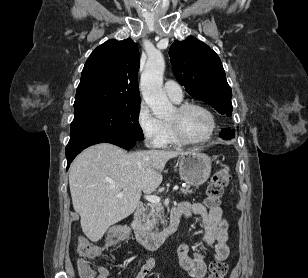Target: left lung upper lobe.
<instances>
[{
  "label": "left lung upper lobe",
  "mask_w": 308,
  "mask_h": 278,
  "mask_svg": "<svg viewBox=\"0 0 308 278\" xmlns=\"http://www.w3.org/2000/svg\"><path fill=\"white\" fill-rule=\"evenodd\" d=\"M174 75L195 99L205 101L220 114L232 115V92L220 58L194 37L176 41L169 50Z\"/></svg>",
  "instance_id": "obj_1"
}]
</instances>
